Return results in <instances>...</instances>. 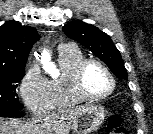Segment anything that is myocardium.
Returning a JSON list of instances; mask_svg holds the SVG:
<instances>
[{"instance_id": "myocardium-1", "label": "myocardium", "mask_w": 153, "mask_h": 134, "mask_svg": "<svg viewBox=\"0 0 153 134\" xmlns=\"http://www.w3.org/2000/svg\"><path fill=\"white\" fill-rule=\"evenodd\" d=\"M91 65H97L105 71L111 80V88L109 91L99 95H93L86 91L84 86V76L87 68ZM116 78L109 67L102 61L95 58H84L73 70L72 87L74 93L84 101H99L112 95L116 89Z\"/></svg>"}]
</instances>
